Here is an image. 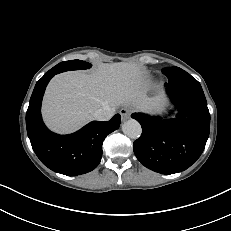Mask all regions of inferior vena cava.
I'll return each instance as SVG.
<instances>
[{"label":"inferior vena cava","mask_w":231,"mask_h":231,"mask_svg":"<svg viewBox=\"0 0 231 231\" xmlns=\"http://www.w3.org/2000/svg\"><path fill=\"white\" fill-rule=\"evenodd\" d=\"M114 112H115V108L110 107L109 105H105L100 109H98L97 111H95L94 118L99 121H107L112 118Z\"/></svg>","instance_id":"obj_1"}]
</instances>
